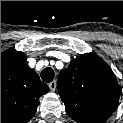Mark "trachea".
<instances>
[{
    "instance_id": "1",
    "label": "trachea",
    "mask_w": 123,
    "mask_h": 123,
    "mask_svg": "<svg viewBox=\"0 0 123 123\" xmlns=\"http://www.w3.org/2000/svg\"><path fill=\"white\" fill-rule=\"evenodd\" d=\"M41 78L42 81L44 82H51L54 78V71L51 67H47L45 68L42 72H41Z\"/></svg>"
}]
</instances>
